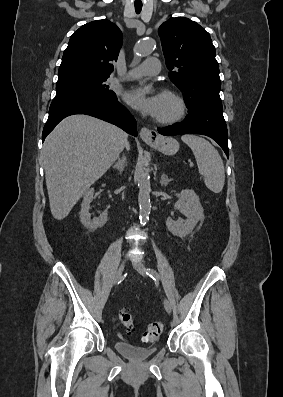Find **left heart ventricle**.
<instances>
[{"label": "left heart ventricle", "instance_id": "1", "mask_svg": "<svg viewBox=\"0 0 283 397\" xmlns=\"http://www.w3.org/2000/svg\"><path fill=\"white\" fill-rule=\"evenodd\" d=\"M159 112L156 118H165L169 117L176 113L177 111V104L174 99L168 96H159Z\"/></svg>", "mask_w": 283, "mask_h": 397}]
</instances>
